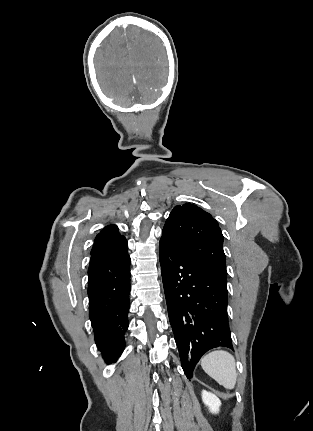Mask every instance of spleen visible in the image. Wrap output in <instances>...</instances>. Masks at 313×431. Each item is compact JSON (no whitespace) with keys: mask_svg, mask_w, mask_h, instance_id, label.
I'll use <instances>...</instances> for the list:
<instances>
[{"mask_svg":"<svg viewBox=\"0 0 313 431\" xmlns=\"http://www.w3.org/2000/svg\"><path fill=\"white\" fill-rule=\"evenodd\" d=\"M206 374L226 389H234L237 380L234 357L223 350H215L201 359Z\"/></svg>","mask_w":313,"mask_h":431,"instance_id":"obj_1","label":"spleen"}]
</instances>
